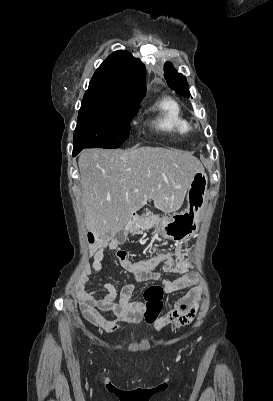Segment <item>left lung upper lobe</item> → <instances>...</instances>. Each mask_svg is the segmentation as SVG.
<instances>
[{
    "mask_svg": "<svg viewBox=\"0 0 273 401\" xmlns=\"http://www.w3.org/2000/svg\"><path fill=\"white\" fill-rule=\"evenodd\" d=\"M164 77L169 87L177 94L189 98L188 84L186 77L182 74H177L170 62H166L164 66Z\"/></svg>",
    "mask_w": 273,
    "mask_h": 401,
    "instance_id": "1",
    "label": "left lung upper lobe"
}]
</instances>
